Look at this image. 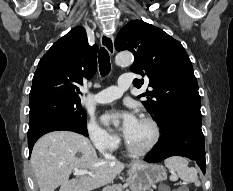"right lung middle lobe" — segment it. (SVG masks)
<instances>
[{"label": "right lung middle lobe", "mask_w": 233, "mask_h": 191, "mask_svg": "<svg viewBox=\"0 0 233 191\" xmlns=\"http://www.w3.org/2000/svg\"><path fill=\"white\" fill-rule=\"evenodd\" d=\"M29 126L42 119H61L86 128L87 115L80 100L57 94H44L30 99Z\"/></svg>", "instance_id": "right-lung-middle-lobe-1"}]
</instances>
